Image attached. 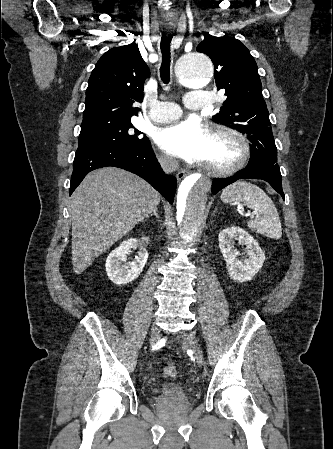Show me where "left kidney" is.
<instances>
[{"label":"left kidney","mask_w":333,"mask_h":449,"mask_svg":"<svg viewBox=\"0 0 333 449\" xmlns=\"http://www.w3.org/2000/svg\"><path fill=\"white\" fill-rule=\"evenodd\" d=\"M235 244L246 245L247 257L239 260ZM219 248L227 264L231 279L238 282L251 280L263 266L265 255L258 242L245 230L233 226L225 228L219 234Z\"/></svg>","instance_id":"1"}]
</instances>
